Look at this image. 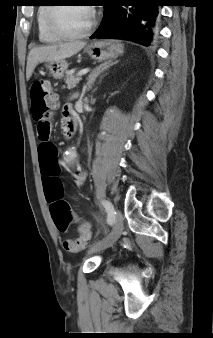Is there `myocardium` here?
Instances as JSON below:
<instances>
[{
  "label": "myocardium",
  "instance_id": "obj_1",
  "mask_svg": "<svg viewBox=\"0 0 213 338\" xmlns=\"http://www.w3.org/2000/svg\"><path fill=\"white\" fill-rule=\"evenodd\" d=\"M58 7H51L46 20V28L47 31L55 38L62 39V40H73L83 38L89 35L94 28L96 27V14L94 11H91V20L89 25L81 32L78 33H66L59 29L56 22V12L59 8L62 7H69V6H62V5H53Z\"/></svg>",
  "mask_w": 213,
  "mask_h": 338
}]
</instances>
